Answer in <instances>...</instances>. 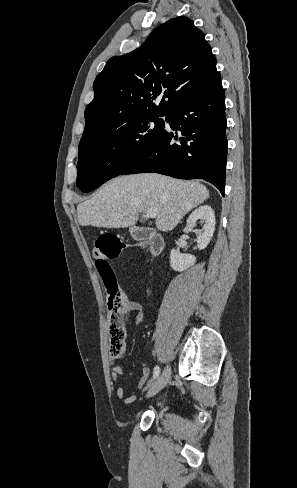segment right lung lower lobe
Listing matches in <instances>:
<instances>
[{"label": "right lung lower lobe", "mask_w": 297, "mask_h": 488, "mask_svg": "<svg viewBox=\"0 0 297 488\" xmlns=\"http://www.w3.org/2000/svg\"><path fill=\"white\" fill-rule=\"evenodd\" d=\"M163 129L121 175L156 172L179 179H204L225 193L227 155L225 97L219 78L166 115Z\"/></svg>", "instance_id": "1"}]
</instances>
